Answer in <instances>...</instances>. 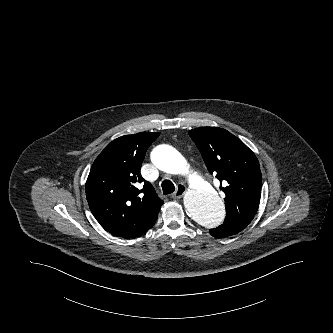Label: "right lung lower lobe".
Returning <instances> with one entry per match:
<instances>
[{
    "label": "right lung lower lobe",
    "mask_w": 333,
    "mask_h": 333,
    "mask_svg": "<svg viewBox=\"0 0 333 333\" xmlns=\"http://www.w3.org/2000/svg\"><path fill=\"white\" fill-rule=\"evenodd\" d=\"M155 223V222H154ZM154 223L151 224L150 228L154 225Z\"/></svg>",
    "instance_id": "right-lung-lower-lobe-1"
}]
</instances>
